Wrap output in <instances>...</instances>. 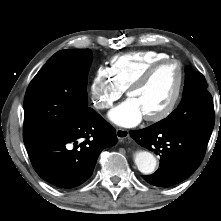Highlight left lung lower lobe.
I'll return each instance as SVG.
<instances>
[{
    "label": "left lung lower lobe",
    "mask_w": 221,
    "mask_h": 221,
    "mask_svg": "<svg viewBox=\"0 0 221 221\" xmlns=\"http://www.w3.org/2000/svg\"><path fill=\"white\" fill-rule=\"evenodd\" d=\"M138 144L160 156V168L142 175L148 183L169 187L187 179L203 160L211 133L199 130L164 131L155 124L130 132Z\"/></svg>",
    "instance_id": "obj_1"
}]
</instances>
